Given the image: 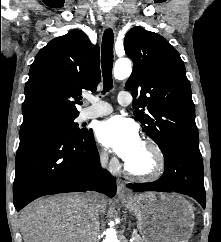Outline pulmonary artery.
I'll list each match as a JSON object with an SVG mask.
<instances>
[{"mask_svg":"<svg viewBox=\"0 0 221 242\" xmlns=\"http://www.w3.org/2000/svg\"><path fill=\"white\" fill-rule=\"evenodd\" d=\"M132 99L129 93L120 92L118 95V102L122 106H127L131 103ZM90 106L85 108L82 112V118L84 120L103 117L112 113V107L101 100L96 98H89Z\"/></svg>","mask_w":221,"mask_h":242,"instance_id":"obj_1","label":"pulmonary artery"}]
</instances>
